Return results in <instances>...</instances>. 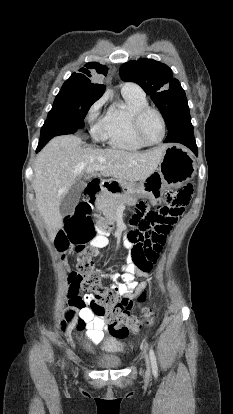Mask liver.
<instances>
[{
  "label": "liver",
  "mask_w": 233,
  "mask_h": 414,
  "mask_svg": "<svg viewBox=\"0 0 233 414\" xmlns=\"http://www.w3.org/2000/svg\"><path fill=\"white\" fill-rule=\"evenodd\" d=\"M82 145L83 141L78 136H57L35 159V202L51 238L63 225L62 200L82 178L95 176L93 168L101 166L104 168L102 175L114 176L124 182L142 181L155 172L167 148L163 145L145 152H130Z\"/></svg>",
  "instance_id": "obj_1"
}]
</instances>
